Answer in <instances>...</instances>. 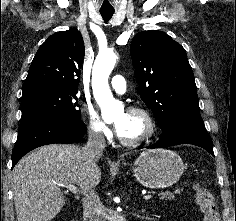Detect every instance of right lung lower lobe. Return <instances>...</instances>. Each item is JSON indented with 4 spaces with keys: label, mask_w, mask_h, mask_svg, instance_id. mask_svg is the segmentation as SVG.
<instances>
[{
    "label": "right lung lower lobe",
    "mask_w": 236,
    "mask_h": 221,
    "mask_svg": "<svg viewBox=\"0 0 236 221\" xmlns=\"http://www.w3.org/2000/svg\"><path fill=\"white\" fill-rule=\"evenodd\" d=\"M86 126L82 121L38 115L21 119L17 141L12 152V168L29 151L47 144L73 143L84 136Z\"/></svg>",
    "instance_id": "98d812e1"
}]
</instances>
